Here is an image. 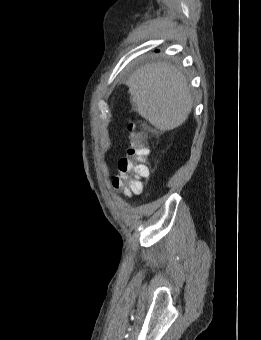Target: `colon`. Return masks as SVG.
Segmentation results:
<instances>
[{
	"mask_svg": "<svg viewBox=\"0 0 261 340\" xmlns=\"http://www.w3.org/2000/svg\"><path fill=\"white\" fill-rule=\"evenodd\" d=\"M128 131L127 156L118 163L119 175L114 179L113 185L123 194L131 196L141 192V179L148 176L149 171L145 162L149 149L145 144L144 134L136 129L134 123L128 124Z\"/></svg>",
	"mask_w": 261,
	"mask_h": 340,
	"instance_id": "1",
	"label": "colon"
}]
</instances>
